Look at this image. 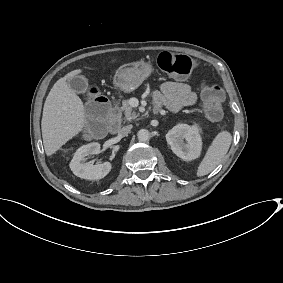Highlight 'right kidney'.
<instances>
[{
  "instance_id": "1",
  "label": "right kidney",
  "mask_w": 283,
  "mask_h": 283,
  "mask_svg": "<svg viewBox=\"0 0 283 283\" xmlns=\"http://www.w3.org/2000/svg\"><path fill=\"white\" fill-rule=\"evenodd\" d=\"M99 152L100 144L97 142L81 146L77 149L69 164L70 169L76 176L83 179L98 180L104 178L111 170L110 162L96 165L85 163L88 156L98 154Z\"/></svg>"
}]
</instances>
